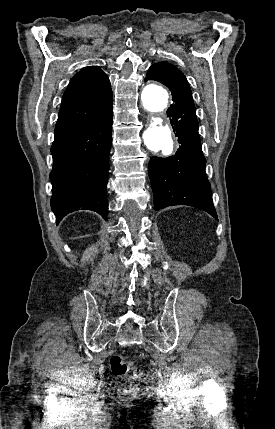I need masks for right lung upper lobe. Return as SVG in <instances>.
<instances>
[{
    "label": "right lung upper lobe",
    "instance_id": "obj_1",
    "mask_svg": "<svg viewBox=\"0 0 275 429\" xmlns=\"http://www.w3.org/2000/svg\"><path fill=\"white\" fill-rule=\"evenodd\" d=\"M112 101L107 75L98 67L83 68L64 92L55 132L106 117L112 112Z\"/></svg>",
    "mask_w": 275,
    "mask_h": 429
}]
</instances>
